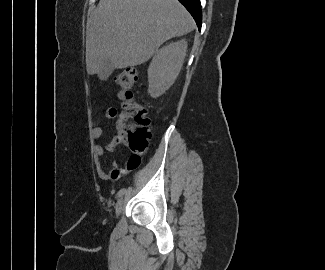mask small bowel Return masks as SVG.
<instances>
[{
  "instance_id": "small-bowel-1",
  "label": "small bowel",
  "mask_w": 325,
  "mask_h": 270,
  "mask_svg": "<svg viewBox=\"0 0 325 270\" xmlns=\"http://www.w3.org/2000/svg\"><path fill=\"white\" fill-rule=\"evenodd\" d=\"M117 115H118L117 109L111 107L106 111L104 115V119L111 120L115 118ZM102 134H103V130L101 127H94L92 129L91 136L94 140H99L102 137ZM119 143L120 142L115 138L104 146L96 144L93 147V152L95 155L96 172L102 180H109L110 178L116 179L121 174L134 169V168H129L127 165L126 167H122L117 163H112L110 168L105 167L102 160L105 152H113Z\"/></svg>"
}]
</instances>
